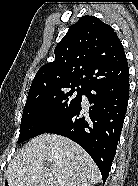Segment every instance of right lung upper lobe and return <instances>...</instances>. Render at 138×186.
Here are the masks:
<instances>
[{
	"label": "right lung upper lobe",
	"instance_id": "obj_1",
	"mask_svg": "<svg viewBox=\"0 0 138 186\" xmlns=\"http://www.w3.org/2000/svg\"><path fill=\"white\" fill-rule=\"evenodd\" d=\"M54 54L55 60L36 73L29 93L68 85L86 88L116 84L129 78L125 52L117 34L94 16H83L71 25Z\"/></svg>",
	"mask_w": 138,
	"mask_h": 186
}]
</instances>
